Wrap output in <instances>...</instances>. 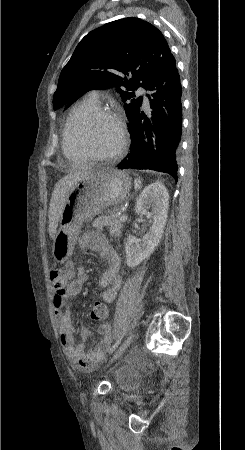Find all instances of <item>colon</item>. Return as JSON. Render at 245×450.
Listing matches in <instances>:
<instances>
[{
    "mask_svg": "<svg viewBox=\"0 0 245 450\" xmlns=\"http://www.w3.org/2000/svg\"><path fill=\"white\" fill-rule=\"evenodd\" d=\"M68 272L69 270H66L63 273L67 274ZM62 292H65L64 288H62ZM90 316L94 321L104 322L108 318L107 306L103 302H94L90 309Z\"/></svg>",
    "mask_w": 245,
    "mask_h": 450,
    "instance_id": "5ec220e1",
    "label": "colon"
}]
</instances>
